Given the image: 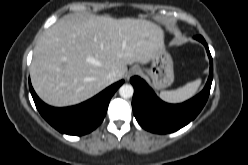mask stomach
I'll use <instances>...</instances> for the list:
<instances>
[{
	"label": "stomach",
	"instance_id": "obj_1",
	"mask_svg": "<svg viewBox=\"0 0 248 165\" xmlns=\"http://www.w3.org/2000/svg\"><path fill=\"white\" fill-rule=\"evenodd\" d=\"M150 61L151 67L146 72L154 88L160 90L170 86L174 81L173 60L164 46L154 50Z\"/></svg>",
	"mask_w": 248,
	"mask_h": 165
}]
</instances>
